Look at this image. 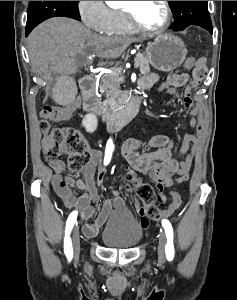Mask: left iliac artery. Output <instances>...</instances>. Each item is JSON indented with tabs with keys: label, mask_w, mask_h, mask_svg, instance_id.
<instances>
[{
	"label": "left iliac artery",
	"mask_w": 237,
	"mask_h": 300,
	"mask_svg": "<svg viewBox=\"0 0 237 300\" xmlns=\"http://www.w3.org/2000/svg\"><path fill=\"white\" fill-rule=\"evenodd\" d=\"M162 226L167 237V244L165 246L166 258L168 261H171L174 258L173 228L171 223L166 219L162 220Z\"/></svg>",
	"instance_id": "1"
}]
</instances>
